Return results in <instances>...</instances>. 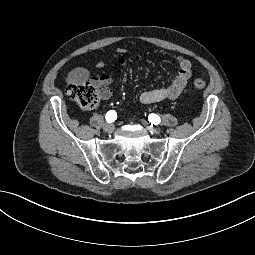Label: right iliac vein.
<instances>
[{
	"mask_svg": "<svg viewBox=\"0 0 255 255\" xmlns=\"http://www.w3.org/2000/svg\"><path fill=\"white\" fill-rule=\"evenodd\" d=\"M114 129H115V126L112 123H107L104 125V131L107 133H112Z\"/></svg>",
	"mask_w": 255,
	"mask_h": 255,
	"instance_id": "1",
	"label": "right iliac vein"
}]
</instances>
